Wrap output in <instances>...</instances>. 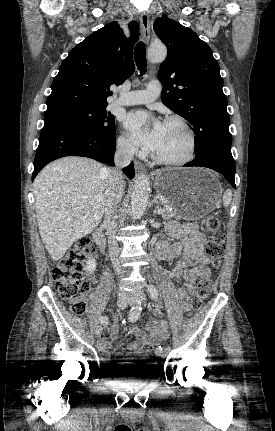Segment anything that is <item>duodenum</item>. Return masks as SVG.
Instances as JSON below:
<instances>
[{
	"label": "duodenum",
	"mask_w": 275,
	"mask_h": 431,
	"mask_svg": "<svg viewBox=\"0 0 275 431\" xmlns=\"http://www.w3.org/2000/svg\"><path fill=\"white\" fill-rule=\"evenodd\" d=\"M93 238L95 243L103 251L105 248V237H104L103 231L101 229H97L93 234Z\"/></svg>",
	"instance_id": "1"
}]
</instances>
